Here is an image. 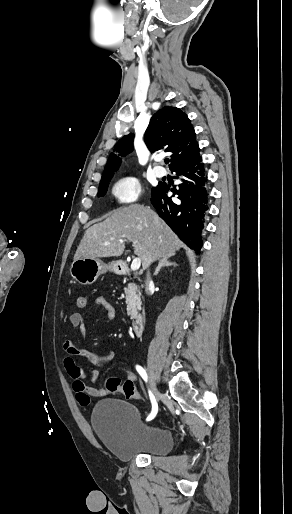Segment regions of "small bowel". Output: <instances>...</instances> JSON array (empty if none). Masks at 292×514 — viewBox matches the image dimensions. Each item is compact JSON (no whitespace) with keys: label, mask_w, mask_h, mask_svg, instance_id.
Returning a JSON list of instances; mask_svg holds the SVG:
<instances>
[{"label":"small bowel","mask_w":292,"mask_h":514,"mask_svg":"<svg viewBox=\"0 0 292 514\" xmlns=\"http://www.w3.org/2000/svg\"><path fill=\"white\" fill-rule=\"evenodd\" d=\"M94 304L101 307L105 316L109 320L116 318L115 307L103 296H98L94 300ZM70 324L74 328H80L84 332V319L80 313H73L69 317ZM64 354L63 365L66 373L72 380V388L77 394V400L82 406H87L91 398H101L109 394V391L101 386H90L85 384L84 379L97 381L99 375L95 371H83L76 364V357L81 356L91 364L96 366H105L109 364L114 355L111 351H107L104 355H99L88 349L79 348L74 341L67 339L62 344ZM120 363L126 370V381L132 383L136 380V374L131 369L127 358L122 357ZM134 385V384H133ZM114 396V393H111ZM119 400H128V397H119Z\"/></svg>","instance_id":"small-bowel-1"}]
</instances>
